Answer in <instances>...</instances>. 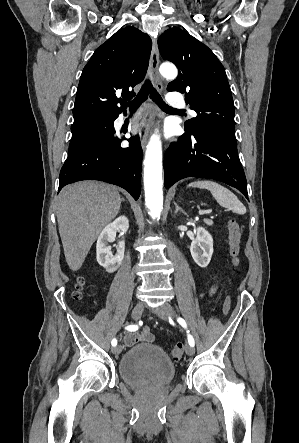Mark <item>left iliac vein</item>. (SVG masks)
<instances>
[{
	"label": "left iliac vein",
	"instance_id": "obj_1",
	"mask_svg": "<svg viewBox=\"0 0 299 443\" xmlns=\"http://www.w3.org/2000/svg\"><path fill=\"white\" fill-rule=\"evenodd\" d=\"M154 312L158 317H160L161 319H164V320H167L170 317L175 315L173 307L168 303H165L162 306H160L159 308L155 309ZM185 351H186V354L189 356L194 354V348L192 346H190L189 344H187L185 346Z\"/></svg>",
	"mask_w": 299,
	"mask_h": 443
}]
</instances>
